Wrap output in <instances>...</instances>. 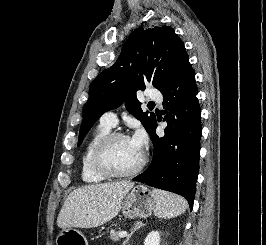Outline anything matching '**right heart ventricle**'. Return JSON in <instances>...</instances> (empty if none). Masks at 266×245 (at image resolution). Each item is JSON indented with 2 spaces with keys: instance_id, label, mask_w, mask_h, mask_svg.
Here are the masks:
<instances>
[{
  "instance_id": "right-heart-ventricle-1",
  "label": "right heart ventricle",
  "mask_w": 266,
  "mask_h": 245,
  "mask_svg": "<svg viewBox=\"0 0 266 245\" xmlns=\"http://www.w3.org/2000/svg\"><path fill=\"white\" fill-rule=\"evenodd\" d=\"M111 128V126L100 122L85 143L80 161V177L85 184L97 185L106 181V178L102 177L94 169L92 155L97 144L111 131Z\"/></svg>"
}]
</instances>
